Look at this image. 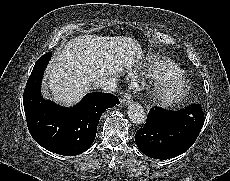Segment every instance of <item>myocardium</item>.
<instances>
[{"instance_id": "myocardium-1", "label": "myocardium", "mask_w": 230, "mask_h": 181, "mask_svg": "<svg viewBox=\"0 0 230 181\" xmlns=\"http://www.w3.org/2000/svg\"><path fill=\"white\" fill-rule=\"evenodd\" d=\"M189 90L190 83L185 74L175 72L157 79L152 87L151 95L156 102L170 106L181 102Z\"/></svg>"}]
</instances>
